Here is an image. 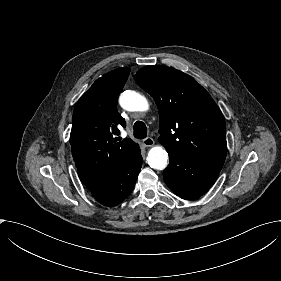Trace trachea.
<instances>
[{"mask_svg":"<svg viewBox=\"0 0 281 281\" xmlns=\"http://www.w3.org/2000/svg\"><path fill=\"white\" fill-rule=\"evenodd\" d=\"M133 134L137 139H144L147 136V128L144 122L137 121L133 126Z\"/></svg>","mask_w":281,"mask_h":281,"instance_id":"obj_1","label":"trachea"}]
</instances>
